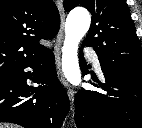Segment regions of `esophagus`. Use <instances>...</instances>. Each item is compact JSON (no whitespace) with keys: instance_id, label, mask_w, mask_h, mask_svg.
<instances>
[{"instance_id":"34e87169","label":"esophagus","mask_w":142,"mask_h":128,"mask_svg":"<svg viewBox=\"0 0 142 128\" xmlns=\"http://www.w3.org/2000/svg\"><path fill=\"white\" fill-rule=\"evenodd\" d=\"M57 8L60 14V29L57 34L55 45H54L56 70H57L59 80L62 86L65 88L66 93L69 97L70 104H71V111H73L74 110V91L69 86L68 82L64 78L61 71V50H62L64 35H65V11L63 7V0H57Z\"/></svg>"}]
</instances>
